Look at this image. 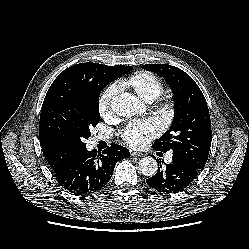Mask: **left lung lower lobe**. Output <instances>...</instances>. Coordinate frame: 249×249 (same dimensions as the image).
<instances>
[{"label":"left lung lower lobe","mask_w":249,"mask_h":249,"mask_svg":"<svg viewBox=\"0 0 249 249\" xmlns=\"http://www.w3.org/2000/svg\"><path fill=\"white\" fill-rule=\"evenodd\" d=\"M172 159V162L165 164V167L161 166L160 161V168H158L157 173L146 180L150 187L160 193L170 194L184 190L195 180L201 171L193 168L177 156H173Z\"/></svg>","instance_id":"1"}]
</instances>
